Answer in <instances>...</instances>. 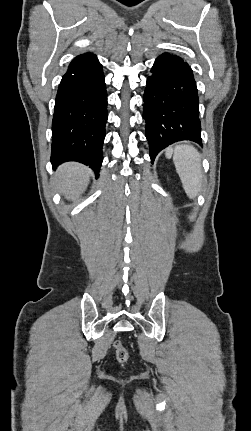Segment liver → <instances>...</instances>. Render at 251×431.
I'll return each instance as SVG.
<instances>
[{"label": "liver", "instance_id": "liver-1", "mask_svg": "<svg viewBox=\"0 0 251 431\" xmlns=\"http://www.w3.org/2000/svg\"><path fill=\"white\" fill-rule=\"evenodd\" d=\"M91 170L76 162L64 163L58 167L54 182L57 189L68 199L76 200L85 192Z\"/></svg>", "mask_w": 251, "mask_h": 431}]
</instances>
